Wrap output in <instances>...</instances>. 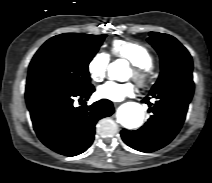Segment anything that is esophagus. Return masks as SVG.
I'll return each mask as SVG.
<instances>
[{
	"label": "esophagus",
	"instance_id": "obj_1",
	"mask_svg": "<svg viewBox=\"0 0 212 183\" xmlns=\"http://www.w3.org/2000/svg\"><path fill=\"white\" fill-rule=\"evenodd\" d=\"M119 104H120V103H118V102H114V103H113V105H114L115 107L119 106Z\"/></svg>",
	"mask_w": 212,
	"mask_h": 183
}]
</instances>
